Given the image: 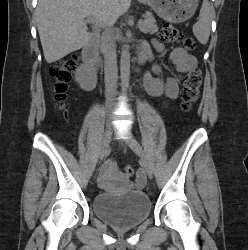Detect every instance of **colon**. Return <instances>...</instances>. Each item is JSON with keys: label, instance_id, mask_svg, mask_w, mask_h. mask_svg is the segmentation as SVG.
Listing matches in <instances>:
<instances>
[{"label": "colon", "instance_id": "obj_1", "mask_svg": "<svg viewBox=\"0 0 248 250\" xmlns=\"http://www.w3.org/2000/svg\"><path fill=\"white\" fill-rule=\"evenodd\" d=\"M160 39L163 42H181L188 50L196 47L195 41L182 34L173 24L165 23L160 31ZM78 62V56L73 54L70 58L60 61L58 64L50 67L49 74L54 79L55 100L59 107H62L66 99V93L73 77V72ZM202 76L199 69L190 70L183 79L181 90V108L189 111L199 96V88ZM112 165V164H110ZM125 177L131 178L134 175V168L131 165H125L122 169Z\"/></svg>", "mask_w": 248, "mask_h": 250}]
</instances>
